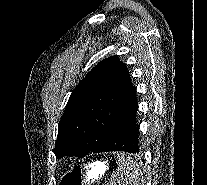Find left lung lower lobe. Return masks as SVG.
<instances>
[{
    "label": "left lung lower lobe",
    "instance_id": "obj_1",
    "mask_svg": "<svg viewBox=\"0 0 207 185\" xmlns=\"http://www.w3.org/2000/svg\"><path fill=\"white\" fill-rule=\"evenodd\" d=\"M138 103L117 122L110 132L102 152L125 151L138 154L139 148V128L137 125Z\"/></svg>",
    "mask_w": 207,
    "mask_h": 185
}]
</instances>
